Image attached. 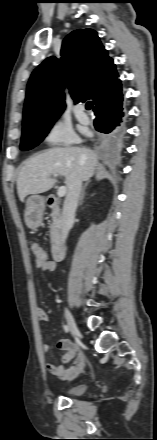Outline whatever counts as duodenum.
Listing matches in <instances>:
<instances>
[{
	"instance_id": "1",
	"label": "duodenum",
	"mask_w": 157,
	"mask_h": 440,
	"mask_svg": "<svg viewBox=\"0 0 157 440\" xmlns=\"http://www.w3.org/2000/svg\"><path fill=\"white\" fill-rule=\"evenodd\" d=\"M51 206L57 205V201L51 200ZM65 255V247L62 243L58 241H54L52 244V257L55 261H60L64 258Z\"/></svg>"
}]
</instances>
